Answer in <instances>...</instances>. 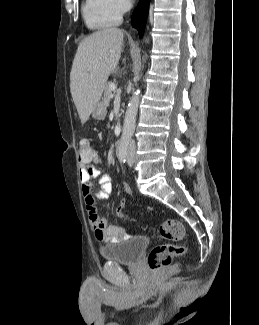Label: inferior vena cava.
I'll return each mask as SVG.
<instances>
[{
	"label": "inferior vena cava",
	"instance_id": "obj_1",
	"mask_svg": "<svg viewBox=\"0 0 259 325\" xmlns=\"http://www.w3.org/2000/svg\"><path fill=\"white\" fill-rule=\"evenodd\" d=\"M129 146L130 147H134V141L133 140L130 141V145Z\"/></svg>",
	"mask_w": 259,
	"mask_h": 325
}]
</instances>
